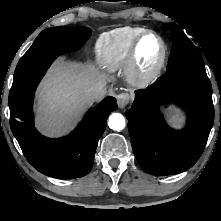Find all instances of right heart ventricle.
<instances>
[{
    "label": "right heart ventricle",
    "mask_w": 221,
    "mask_h": 221,
    "mask_svg": "<svg viewBox=\"0 0 221 221\" xmlns=\"http://www.w3.org/2000/svg\"><path fill=\"white\" fill-rule=\"evenodd\" d=\"M145 30L143 27L127 26L103 33L95 46L101 65L112 71L127 66L132 45Z\"/></svg>",
    "instance_id": "1"
}]
</instances>
